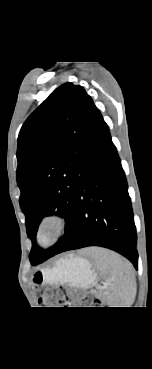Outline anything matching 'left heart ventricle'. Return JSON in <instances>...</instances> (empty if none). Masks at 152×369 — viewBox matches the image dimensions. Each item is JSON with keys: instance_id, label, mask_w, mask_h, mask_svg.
<instances>
[{"instance_id": "obj_1", "label": "left heart ventricle", "mask_w": 152, "mask_h": 369, "mask_svg": "<svg viewBox=\"0 0 152 369\" xmlns=\"http://www.w3.org/2000/svg\"><path fill=\"white\" fill-rule=\"evenodd\" d=\"M48 237H49V233H48V232H46V233L44 234L43 238H44V240H47V239H48Z\"/></svg>"}]
</instances>
